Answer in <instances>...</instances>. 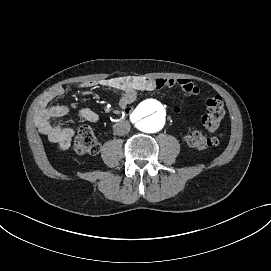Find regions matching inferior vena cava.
<instances>
[{"label": "inferior vena cava", "instance_id": "1", "mask_svg": "<svg viewBox=\"0 0 271 271\" xmlns=\"http://www.w3.org/2000/svg\"><path fill=\"white\" fill-rule=\"evenodd\" d=\"M114 131H115V133L117 135H120V136L121 135H125V134L129 133V131H130V125H129L128 122H119L116 125Z\"/></svg>", "mask_w": 271, "mask_h": 271}]
</instances>
